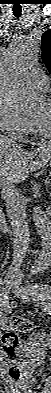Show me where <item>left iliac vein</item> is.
Returning a JSON list of instances; mask_svg holds the SVG:
<instances>
[{
	"label": "left iliac vein",
	"mask_w": 51,
	"mask_h": 393,
	"mask_svg": "<svg viewBox=\"0 0 51 393\" xmlns=\"http://www.w3.org/2000/svg\"><path fill=\"white\" fill-rule=\"evenodd\" d=\"M30 287L31 286L22 285L21 283L17 282L13 286V291L17 296L26 299L27 301H41L42 297L40 296V293L36 292L35 294H33V291L30 289Z\"/></svg>",
	"instance_id": "obj_1"
}]
</instances>
